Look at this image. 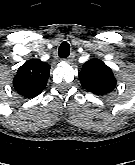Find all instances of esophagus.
I'll list each match as a JSON object with an SVG mask.
<instances>
[{"label":"esophagus","mask_w":135,"mask_h":165,"mask_svg":"<svg viewBox=\"0 0 135 165\" xmlns=\"http://www.w3.org/2000/svg\"><path fill=\"white\" fill-rule=\"evenodd\" d=\"M75 58V53H71L69 57L64 58L67 63H71Z\"/></svg>","instance_id":"obj_1"}]
</instances>
